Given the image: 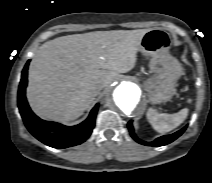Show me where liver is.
<instances>
[{"mask_svg":"<svg viewBox=\"0 0 212 183\" xmlns=\"http://www.w3.org/2000/svg\"><path fill=\"white\" fill-rule=\"evenodd\" d=\"M150 29L95 31L42 44L29 66L27 99L41 118L69 122L80 117L99 92L137 62Z\"/></svg>","mask_w":212,"mask_h":183,"instance_id":"obj_1","label":"liver"}]
</instances>
